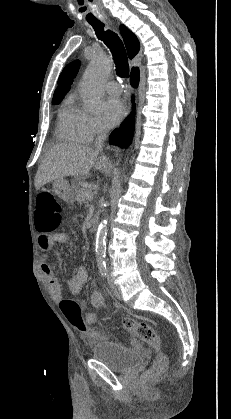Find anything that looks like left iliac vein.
<instances>
[{
    "label": "left iliac vein",
    "mask_w": 231,
    "mask_h": 419,
    "mask_svg": "<svg viewBox=\"0 0 231 419\" xmlns=\"http://www.w3.org/2000/svg\"><path fill=\"white\" fill-rule=\"evenodd\" d=\"M107 279H108V283H109V286H110V288H111V290H112V292H113V294L119 299V300H121L122 299V294H121V292H120V290H119V288L116 286V284L114 283V279H113V277L111 276V273H110V271H108L107 272Z\"/></svg>",
    "instance_id": "1"
}]
</instances>
